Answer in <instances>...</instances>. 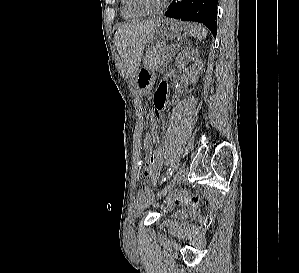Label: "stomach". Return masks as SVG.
<instances>
[{
    "label": "stomach",
    "instance_id": "obj_1",
    "mask_svg": "<svg viewBox=\"0 0 299 273\" xmlns=\"http://www.w3.org/2000/svg\"><path fill=\"white\" fill-rule=\"evenodd\" d=\"M181 31L180 23L171 19L161 20L156 29L157 35L162 39H173L180 35ZM137 72H139L136 77L137 87L141 93H147L154 74L150 71V67H137Z\"/></svg>",
    "mask_w": 299,
    "mask_h": 273
}]
</instances>
